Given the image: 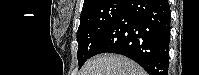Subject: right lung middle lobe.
Returning <instances> with one entry per match:
<instances>
[{"label":"right lung middle lobe","instance_id":"1","mask_svg":"<svg viewBox=\"0 0 199 75\" xmlns=\"http://www.w3.org/2000/svg\"><path fill=\"white\" fill-rule=\"evenodd\" d=\"M127 0H105L102 3L82 9L77 31L79 68L93 56L100 39L119 16Z\"/></svg>","mask_w":199,"mask_h":75}]
</instances>
